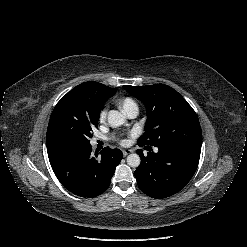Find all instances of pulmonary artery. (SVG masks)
Returning <instances> with one entry per match:
<instances>
[{"label": "pulmonary artery", "mask_w": 247, "mask_h": 247, "mask_svg": "<svg viewBox=\"0 0 247 247\" xmlns=\"http://www.w3.org/2000/svg\"><path fill=\"white\" fill-rule=\"evenodd\" d=\"M126 112H127L128 116H129L130 118H135V117L138 115V112H139L138 106H137L136 104L131 105V106L126 110ZM157 151H158V149L155 150V152H157Z\"/></svg>", "instance_id": "e3ab8cb5"}]
</instances>
